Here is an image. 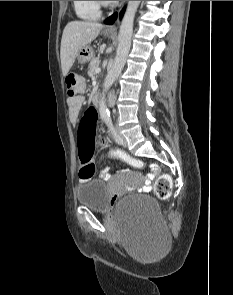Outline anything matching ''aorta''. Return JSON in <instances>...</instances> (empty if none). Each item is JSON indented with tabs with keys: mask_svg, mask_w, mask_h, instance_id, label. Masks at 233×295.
<instances>
[{
	"mask_svg": "<svg viewBox=\"0 0 233 295\" xmlns=\"http://www.w3.org/2000/svg\"><path fill=\"white\" fill-rule=\"evenodd\" d=\"M140 2L141 1H128L127 8L119 30V44L116 52V57L114 59L112 68L109 70L105 78L104 90L99 102V112L102 116H107L109 114V110L107 108L105 100V92L115 82L126 63V59L131 46L134 18Z\"/></svg>",
	"mask_w": 233,
	"mask_h": 295,
	"instance_id": "1",
	"label": "aorta"
}]
</instances>
